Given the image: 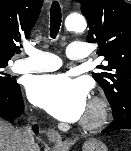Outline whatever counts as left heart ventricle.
I'll return each instance as SVG.
<instances>
[{
    "instance_id": "left-heart-ventricle-1",
    "label": "left heart ventricle",
    "mask_w": 131,
    "mask_h": 151,
    "mask_svg": "<svg viewBox=\"0 0 131 151\" xmlns=\"http://www.w3.org/2000/svg\"><path fill=\"white\" fill-rule=\"evenodd\" d=\"M88 110H89V109H88V107H87V108H86V111H85V115L88 113Z\"/></svg>"
}]
</instances>
